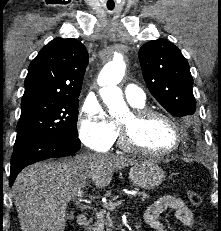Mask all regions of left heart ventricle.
I'll return each instance as SVG.
<instances>
[{
	"mask_svg": "<svg viewBox=\"0 0 221 231\" xmlns=\"http://www.w3.org/2000/svg\"><path fill=\"white\" fill-rule=\"evenodd\" d=\"M129 114L120 119V122H128ZM137 139L146 149L163 152L171 149L176 142V134L173 127L162 118L147 120L138 130Z\"/></svg>",
	"mask_w": 221,
	"mask_h": 231,
	"instance_id": "obj_1",
	"label": "left heart ventricle"
}]
</instances>
